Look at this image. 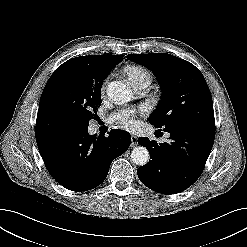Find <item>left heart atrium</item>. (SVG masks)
<instances>
[{
    "mask_svg": "<svg viewBox=\"0 0 247 247\" xmlns=\"http://www.w3.org/2000/svg\"><path fill=\"white\" fill-rule=\"evenodd\" d=\"M139 112L132 108L119 109L110 116V122L121 128L132 129L137 124Z\"/></svg>",
    "mask_w": 247,
    "mask_h": 247,
    "instance_id": "left-heart-atrium-1",
    "label": "left heart atrium"
}]
</instances>
